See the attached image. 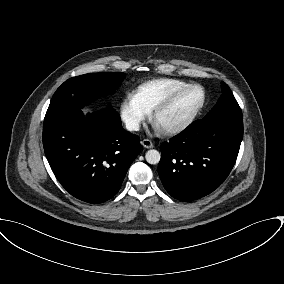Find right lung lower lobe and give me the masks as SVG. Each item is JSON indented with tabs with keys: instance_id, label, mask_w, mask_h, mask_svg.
Here are the masks:
<instances>
[{
	"instance_id": "right-lung-lower-lobe-1",
	"label": "right lung lower lobe",
	"mask_w": 284,
	"mask_h": 284,
	"mask_svg": "<svg viewBox=\"0 0 284 284\" xmlns=\"http://www.w3.org/2000/svg\"><path fill=\"white\" fill-rule=\"evenodd\" d=\"M43 146L61 185L75 198L92 203L111 199L140 153L137 135L125 131L108 107L84 116L66 112L43 128Z\"/></svg>"
}]
</instances>
